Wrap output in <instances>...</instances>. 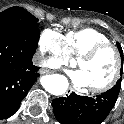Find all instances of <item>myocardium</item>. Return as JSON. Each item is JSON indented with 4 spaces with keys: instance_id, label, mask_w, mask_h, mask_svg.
Returning <instances> with one entry per match:
<instances>
[{
    "instance_id": "1",
    "label": "myocardium",
    "mask_w": 124,
    "mask_h": 124,
    "mask_svg": "<svg viewBox=\"0 0 124 124\" xmlns=\"http://www.w3.org/2000/svg\"><path fill=\"white\" fill-rule=\"evenodd\" d=\"M107 49H111L115 53V58H116L115 71L112 77L110 78V80L104 85H101L98 87H89L88 90L92 93H104L112 89L118 83V81L121 79L122 73L124 72V61H123L122 54L116 45L108 42V43H101L93 46L87 52L81 55L78 59V64L91 60L94 57H96L99 53Z\"/></svg>"
}]
</instances>
